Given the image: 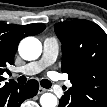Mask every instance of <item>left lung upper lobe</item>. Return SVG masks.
I'll use <instances>...</instances> for the list:
<instances>
[{
    "label": "left lung upper lobe",
    "mask_w": 107,
    "mask_h": 107,
    "mask_svg": "<svg viewBox=\"0 0 107 107\" xmlns=\"http://www.w3.org/2000/svg\"><path fill=\"white\" fill-rule=\"evenodd\" d=\"M54 29L62 43V72L68 74L71 83L90 90L94 97H106V33L84 19L60 22Z\"/></svg>",
    "instance_id": "obj_1"
}]
</instances>
